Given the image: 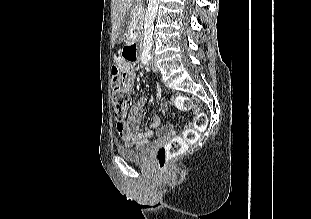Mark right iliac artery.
<instances>
[{"label": "right iliac artery", "mask_w": 311, "mask_h": 219, "mask_svg": "<svg viewBox=\"0 0 311 219\" xmlns=\"http://www.w3.org/2000/svg\"><path fill=\"white\" fill-rule=\"evenodd\" d=\"M150 61V51L148 49L143 50L142 52V63L148 65Z\"/></svg>", "instance_id": "82829eb1"}]
</instances>
